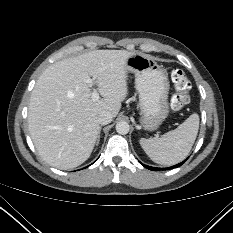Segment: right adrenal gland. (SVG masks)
Wrapping results in <instances>:
<instances>
[{"label": "right adrenal gland", "mask_w": 233, "mask_h": 233, "mask_svg": "<svg viewBox=\"0 0 233 233\" xmlns=\"http://www.w3.org/2000/svg\"><path fill=\"white\" fill-rule=\"evenodd\" d=\"M101 129H102V126L100 127V129H99V134H98V138H97V143H96V145L98 146V144H99V141H100V137H101Z\"/></svg>", "instance_id": "2a0ac1e0"}]
</instances>
